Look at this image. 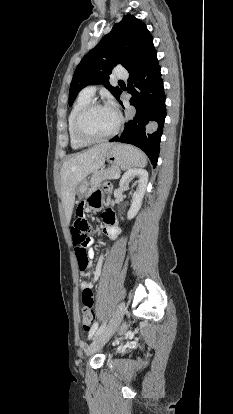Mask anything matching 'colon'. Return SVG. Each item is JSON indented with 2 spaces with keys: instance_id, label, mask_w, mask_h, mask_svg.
Segmentation results:
<instances>
[{
  "instance_id": "obj_1",
  "label": "colon",
  "mask_w": 233,
  "mask_h": 414,
  "mask_svg": "<svg viewBox=\"0 0 233 414\" xmlns=\"http://www.w3.org/2000/svg\"><path fill=\"white\" fill-rule=\"evenodd\" d=\"M72 237L79 269L86 270L90 266V257L88 253L89 235L88 224L81 207L77 209L73 218ZM82 302V324L85 330H89L95 319L93 310L94 295L92 289L87 288L82 291Z\"/></svg>"
}]
</instances>
